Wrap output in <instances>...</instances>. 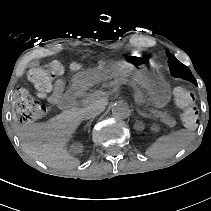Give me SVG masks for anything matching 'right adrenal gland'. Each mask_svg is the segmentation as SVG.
I'll return each instance as SVG.
<instances>
[{"label":"right adrenal gland","mask_w":211,"mask_h":211,"mask_svg":"<svg viewBox=\"0 0 211 211\" xmlns=\"http://www.w3.org/2000/svg\"><path fill=\"white\" fill-rule=\"evenodd\" d=\"M92 122H93V118L89 121V122H87V124H86V126L85 127H89V129H90V126H91V124H92Z\"/></svg>","instance_id":"right-adrenal-gland-1"}]
</instances>
